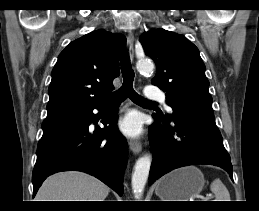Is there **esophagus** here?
<instances>
[{
	"label": "esophagus",
	"instance_id": "obj_1",
	"mask_svg": "<svg viewBox=\"0 0 259 211\" xmlns=\"http://www.w3.org/2000/svg\"><path fill=\"white\" fill-rule=\"evenodd\" d=\"M127 42H128L129 56H130L131 60H133V58H134V35L131 31L128 32ZM129 147L134 154H139L142 150V144L136 140H131L129 142Z\"/></svg>",
	"mask_w": 259,
	"mask_h": 211
}]
</instances>
